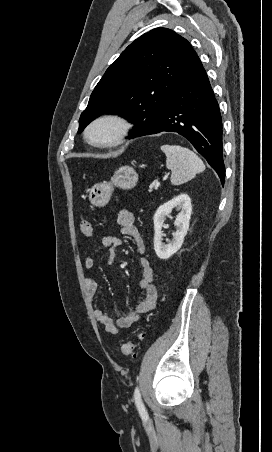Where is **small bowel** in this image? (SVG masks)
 <instances>
[{
    "label": "small bowel",
    "instance_id": "small-bowel-1",
    "mask_svg": "<svg viewBox=\"0 0 272 452\" xmlns=\"http://www.w3.org/2000/svg\"><path fill=\"white\" fill-rule=\"evenodd\" d=\"M117 224L120 233L130 236L134 240V244L139 257L141 267V276L138 280V287L145 292L144 298L139 301L133 308H130L124 316L114 319L110 316L106 308H96L95 317L97 321L104 327L105 331L116 334L120 331L132 327L140 317L155 308L158 298V292L153 285V270L149 260L144 256L146 247L137 227L135 226V216L129 210H121L117 215ZM121 245V239L116 236H105L101 240V247L107 250L106 261L112 264L116 260L117 249ZM94 257L88 256L83 263L85 269L89 270L94 266ZM87 295L91 302H94L96 296L101 290V286L92 278L84 280Z\"/></svg>",
    "mask_w": 272,
    "mask_h": 452
}]
</instances>
